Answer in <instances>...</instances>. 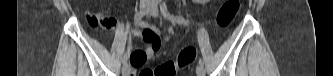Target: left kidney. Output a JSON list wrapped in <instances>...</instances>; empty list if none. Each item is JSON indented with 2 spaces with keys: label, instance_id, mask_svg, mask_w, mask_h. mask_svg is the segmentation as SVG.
Wrapping results in <instances>:
<instances>
[{
  "label": "left kidney",
  "instance_id": "obj_1",
  "mask_svg": "<svg viewBox=\"0 0 333 76\" xmlns=\"http://www.w3.org/2000/svg\"><path fill=\"white\" fill-rule=\"evenodd\" d=\"M197 2H207V0H197Z\"/></svg>",
  "mask_w": 333,
  "mask_h": 76
}]
</instances>
